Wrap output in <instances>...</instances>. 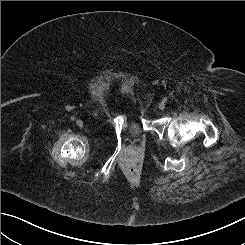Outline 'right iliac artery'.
Wrapping results in <instances>:
<instances>
[{
  "label": "right iliac artery",
  "instance_id": "1",
  "mask_svg": "<svg viewBox=\"0 0 245 245\" xmlns=\"http://www.w3.org/2000/svg\"><path fill=\"white\" fill-rule=\"evenodd\" d=\"M70 119H71V121H74L75 120V117L74 116H71Z\"/></svg>",
  "mask_w": 245,
  "mask_h": 245
}]
</instances>
